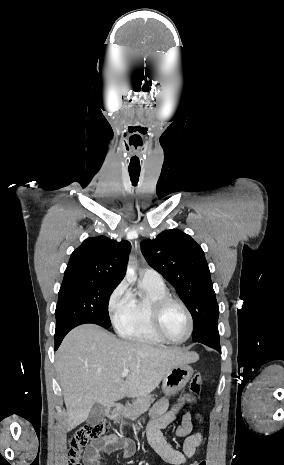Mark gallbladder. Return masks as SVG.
<instances>
[{"label":"gallbladder","instance_id":"bac80fb5","mask_svg":"<svg viewBox=\"0 0 284 465\" xmlns=\"http://www.w3.org/2000/svg\"><path fill=\"white\" fill-rule=\"evenodd\" d=\"M105 415H106L105 407H102V405H99V403H96V405L92 407L89 413V417L87 419L88 425H99V423L103 421Z\"/></svg>","mask_w":284,"mask_h":465}]
</instances>
